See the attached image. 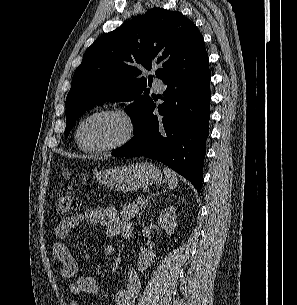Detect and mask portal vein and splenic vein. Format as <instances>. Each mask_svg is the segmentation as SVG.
I'll return each mask as SVG.
<instances>
[{
  "label": "portal vein and splenic vein",
  "instance_id": "1",
  "mask_svg": "<svg viewBox=\"0 0 297 305\" xmlns=\"http://www.w3.org/2000/svg\"><path fill=\"white\" fill-rule=\"evenodd\" d=\"M139 199H140V201L138 203H144L143 199H141V198H139Z\"/></svg>",
  "mask_w": 297,
  "mask_h": 305
}]
</instances>
